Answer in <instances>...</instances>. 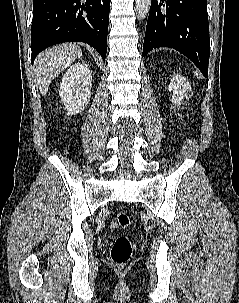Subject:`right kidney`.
<instances>
[{
	"label": "right kidney",
	"instance_id": "ca27d5eb",
	"mask_svg": "<svg viewBox=\"0 0 239 303\" xmlns=\"http://www.w3.org/2000/svg\"><path fill=\"white\" fill-rule=\"evenodd\" d=\"M92 75L87 63H75L64 74L59 96L68 115L81 113L91 97Z\"/></svg>",
	"mask_w": 239,
	"mask_h": 303
}]
</instances>
